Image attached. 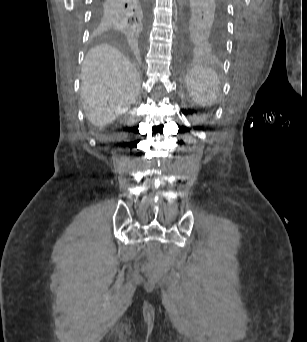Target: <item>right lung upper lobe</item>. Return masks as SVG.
<instances>
[{
	"label": "right lung upper lobe",
	"mask_w": 307,
	"mask_h": 342,
	"mask_svg": "<svg viewBox=\"0 0 307 342\" xmlns=\"http://www.w3.org/2000/svg\"><path fill=\"white\" fill-rule=\"evenodd\" d=\"M149 19L148 0H96V33L104 38L140 41Z\"/></svg>",
	"instance_id": "obj_1"
}]
</instances>
